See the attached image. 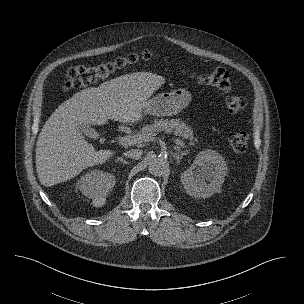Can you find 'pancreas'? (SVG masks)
Returning a JSON list of instances; mask_svg holds the SVG:
<instances>
[{"label":"pancreas","instance_id":"obj_1","mask_svg":"<svg viewBox=\"0 0 304 304\" xmlns=\"http://www.w3.org/2000/svg\"><path fill=\"white\" fill-rule=\"evenodd\" d=\"M165 131L166 133L173 132L175 135L183 139L190 140L191 145L198 143V139L194 137L193 130L180 119H155L153 124L144 126L137 137H142L140 142L157 135L158 132Z\"/></svg>","mask_w":304,"mask_h":304}]
</instances>
